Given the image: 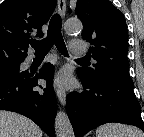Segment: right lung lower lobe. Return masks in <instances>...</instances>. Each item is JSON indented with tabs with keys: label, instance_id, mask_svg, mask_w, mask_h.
Instances as JSON below:
<instances>
[{
	"label": "right lung lower lobe",
	"instance_id": "obj_1",
	"mask_svg": "<svg viewBox=\"0 0 144 137\" xmlns=\"http://www.w3.org/2000/svg\"><path fill=\"white\" fill-rule=\"evenodd\" d=\"M53 76V66L46 63L37 73L23 71L15 76L0 77V110L14 111L30 118L46 134L54 137L57 100L51 87ZM38 79L47 80L44 92L35 90L39 86Z\"/></svg>",
	"mask_w": 144,
	"mask_h": 137
}]
</instances>
